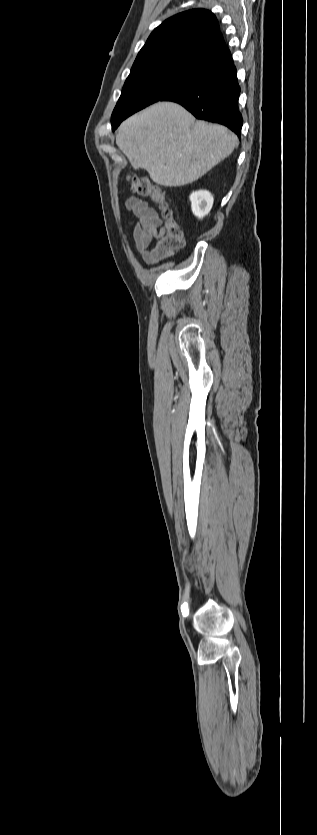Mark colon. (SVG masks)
Returning <instances> with one entry per match:
<instances>
[{
  "instance_id": "obj_1",
  "label": "colon",
  "mask_w": 317,
  "mask_h": 835,
  "mask_svg": "<svg viewBox=\"0 0 317 835\" xmlns=\"http://www.w3.org/2000/svg\"><path fill=\"white\" fill-rule=\"evenodd\" d=\"M127 180L131 192L149 198L158 205L164 219V234L157 245V251L165 257L172 255L182 247L184 234L179 223L173 216V211L165 192L161 188L154 186L145 177L129 176Z\"/></svg>"
}]
</instances>
